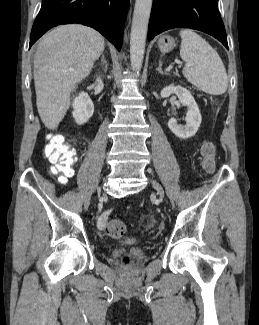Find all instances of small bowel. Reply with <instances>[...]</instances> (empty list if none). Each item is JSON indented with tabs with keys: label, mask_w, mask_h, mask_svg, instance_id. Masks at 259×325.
I'll use <instances>...</instances> for the list:
<instances>
[{
	"label": "small bowel",
	"mask_w": 259,
	"mask_h": 325,
	"mask_svg": "<svg viewBox=\"0 0 259 325\" xmlns=\"http://www.w3.org/2000/svg\"><path fill=\"white\" fill-rule=\"evenodd\" d=\"M65 183V182H63ZM108 219V213H104L102 214L99 219H98V226L101 228V229H104V226L106 224V221Z\"/></svg>",
	"instance_id": "small-bowel-1"
}]
</instances>
